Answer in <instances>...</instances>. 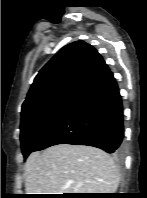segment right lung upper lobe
Segmentation results:
<instances>
[{
	"label": "right lung upper lobe",
	"mask_w": 147,
	"mask_h": 198,
	"mask_svg": "<svg viewBox=\"0 0 147 198\" xmlns=\"http://www.w3.org/2000/svg\"><path fill=\"white\" fill-rule=\"evenodd\" d=\"M109 72L105 61L91 45L83 41L70 43L35 77L21 114L56 101L76 102Z\"/></svg>",
	"instance_id": "obj_1"
}]
</instances>
